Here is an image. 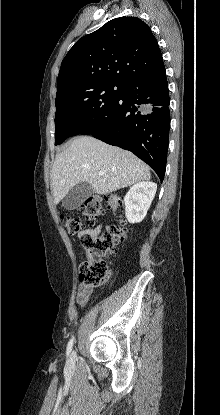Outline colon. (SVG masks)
Here are the masks:
<instances>
[{
    "mask_svg": "<svg viewBox=\"0 0 220 415\" xmlns=\"http://www.w3.org/2000/svg\"><path fill=\"white\" fill-rule=\"evenodd\" d=\"M123 207V198L119 194L97 195L87 198L80 207L85 221L65 214L61 215V219L66 230L74 235L86 227H93L106 209L120 214ZM126 234L127 229L124 225L112 224L105 231L81 237L82 247L87 254V259L80 265V281L84 285L99 287L107 281L109 270L106 258L115 253Z\"/></svg>",
    "mask_w": 220,
    "mask_h": 415,
    "instance_id": "5ec220e1",
    "label": "colon"
}]
</instances>
